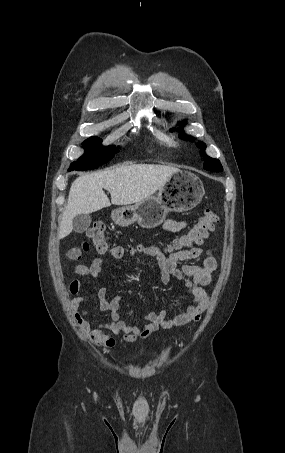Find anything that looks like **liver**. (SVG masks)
Returning <instances> with one entry per match:
<instances>
[{
  "label": "liver",
  "mask_w": 285,
  "mask_h": 453,
  "mask_svg": "<svg viewBox=\"0 0 285 453\" xmlns=\"http://www.w3.org/2000/svg\"><path fill=\"white\" fill-rule=\"evenodd\" d=\"M179 169L154 164H133L78 177L71 185L58 238L68 236L73 219L114 205L138 203L163 187ZM111 194V202L103 191Z\"/></svg>",
  "instance_id": "6515ba94"
}]
</instances>
